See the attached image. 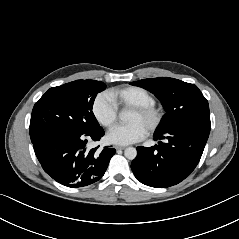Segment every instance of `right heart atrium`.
<instances>
[{"mask_svg": "<svg viewBox=\"0 0 239 239\" xmlns=\"http://www.w3.org/2000/svg\"><path fill=\"white\" fill-rule=\"evenodd\" d=\"M92 114L103 127H111L117 120L118 108L106 93L98 94L91 107Z\"/></svg>", "mask_w": 239, "mask_h": 239, "instance_id": "1", "label": "right heart atrium"}]
</instances>
